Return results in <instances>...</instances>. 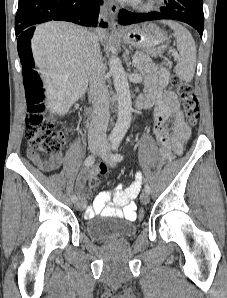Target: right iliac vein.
I'll use <instances>...</instances> for the list:
<instances>
[{
    "label": "right iliac vein",
    "mask_w": 227,
    "mask_h": 298,
    "mask_svg": "<svg viewBox=\"0 0 227 298\" xmlns=\"http://www.w3.org/2000/svg\"><path fill=\"white\" fill-rule=\"evenodd\" d=\"M89 147L92 152H96L97 150H99L100 145H99V143L93 142L90 144ZM74 206H75L76 210L80 211L85 207V204L82 200H78V201H75Z\"/></svg>",
    "instance_id": "1"
}]
</instances>
